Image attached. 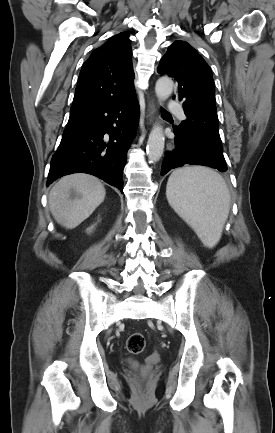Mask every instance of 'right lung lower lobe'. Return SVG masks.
Here are the masks:
<instances>
[{"instance_id":"1","label":"right lung lower lobe","mask_w":275,"mask_h":433,"mask_svg":"<svg viewBox=\"0 0 275 433\" xmlns=\"http://www.w3.org/2000/svg\"><path fill=\"white\" fill-rule=\"evenodd\" d=\"M138 120L135 94L71 113L51 160L47 186L64 175L81 172L95 175L123 192L122 172Z\"/></svg>"}]
</instances>
